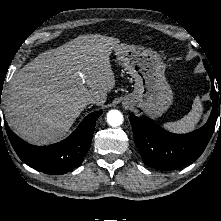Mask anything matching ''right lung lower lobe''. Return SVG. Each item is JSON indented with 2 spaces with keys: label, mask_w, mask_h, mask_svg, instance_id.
<instances>
[{
  "label": "right lung lower lobe",
  "mask_w": 221,
  "mask_h": 221,
  "mask_svg": "<svg viewBox=\"0 0 221 221\" xmlns=\"http://www.w3.org/2000/svg\"><path fill=\"white\" fill-rule=\"evenodd\" d=\"M1 103V98H0ZM102 111L87 115L65 140L49 146H33L19 138L4 122L8 138L19 158L46 174L60 175L79 166L91 145L95 124ZM0 128L1 120H0Z\"/></svg>",
  "instance_id": "right-lung-lower-lobe-1"
}]
</instances>
